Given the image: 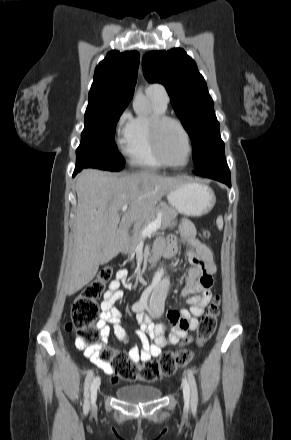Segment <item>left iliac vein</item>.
Instances as JSON below:
<instances>
[{"label":"left iliac vein","instance_id":"1","mask_svg":"<svg viewBox=\"0 0 291 440\" xmlns=\"http://www.w3.org/2000/svg\"><path fill=\"white\" fill-rule=\"evenodd\" d=\"M190 394H191V390H190L189 382L187 381V379H183V397L186 404H189Z\"/></svg>","mask_w":291,"mask_h":440}]
</instances>
